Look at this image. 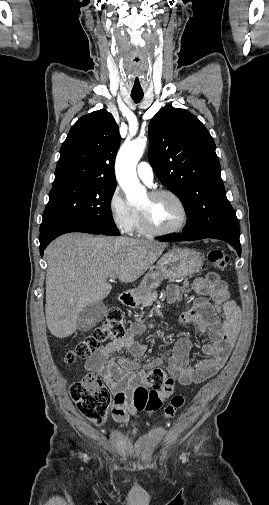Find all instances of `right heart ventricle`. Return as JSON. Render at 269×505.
I'll list each match as a JSON object with an SVG mask.
<instances>
[{
  "instance_id": "1",
  "label": "right heart ventricle",
  "mask_w": 269,
  "mask_h": 505,
  "mask_svg": "<svg viewBox=\"0 0 269 505\" xmlns=\"http://www.w3.org/2000/svg\"><path fill=\"white\" fill-rule=\"evenodd\" d=\"M131 232H134V233L140 234V235H143V234L147 233L146 230L142 226L141 219H140V214H139V211L137 209H136L135 221H134V224H133Z\"/></svg>"
}]
</instances>
